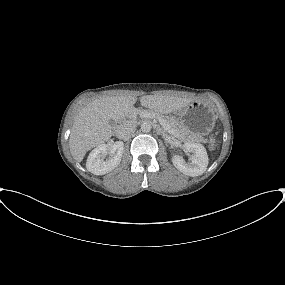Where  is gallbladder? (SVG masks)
<instances>
[{
    "label": "gallbladder",
    "instance_id": "bac80fb5",
    "mask_svg": "<svg viewBox=\"0 0 285 285\" xmlns=\"http://www.w3.org/2000/svg\"><path fill=\"white\" fill-rule=\"evenodd\" d=\"M109 123L111 126H114V124H115L113 120H110Z\"/></svg>",
    "mask_w": 285,
    "mask_h": 285
}]
</instances>
